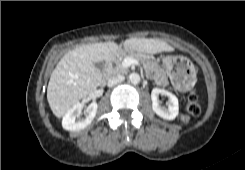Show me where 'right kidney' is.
<instances>
[{
	"mask_svg": "<svg viewBox=\"0 0 245 170\" xmlns=\"http://www.w3.org/2000/svg\"><path fill=\"white\" fill-rule=\"evenodd\" d=\"M98 104L92 102L85 111V117H80L83 105L80 102L74 104L64 115L62 126L65 130L79 131L87 127L95 118Z\"/></svg>",
	"mask_w": 245,
	"mask_h": 170,
	"instance_id": "right-kidney-1",
	"label": "right kidney"
}]
</instances>
